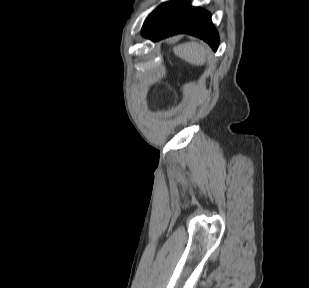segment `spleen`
I'll return each mask as SVG.
<instances>
[{"instance_id": "spleen-1", "label": "spleen", "mask_w": 309, "mask_h": 288, "mask_svg": "<svg viewBox=\"0 0 309 288\" xmlns=\"http://www.w3.org/2000/svg\"><path fill=\"white\" fill-rule=\"evenodd\" d=\"M174 53L191 65H204L207 59V48L204 44L187 42L174 48Z\"/></svg>"}]
</instances>
